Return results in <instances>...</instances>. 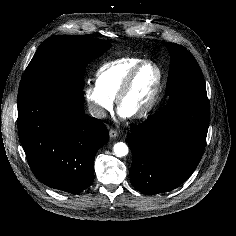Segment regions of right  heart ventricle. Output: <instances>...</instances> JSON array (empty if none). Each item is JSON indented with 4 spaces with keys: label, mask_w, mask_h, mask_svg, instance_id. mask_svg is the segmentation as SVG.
Listing matches in <instances>:
<instances>
[{
    "label": "right heart ventricle",
    "mask_w": 236,
    "mask_h": 236,
    "mask_svg": "<svg viewBox=\"0 0 236 236\" xmlns=\"http://www.w3.org/2000/svg\"><path fill=\"white\" fill-rule=\"evenodd\" d=\"M140 57H122L102 65L96 72V83L111 99H116L128 73L144 61Z\"/></svg>",
    "instance_id": "1"
}]
</instances>
